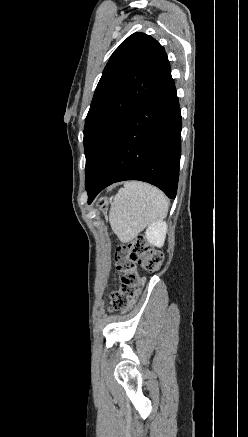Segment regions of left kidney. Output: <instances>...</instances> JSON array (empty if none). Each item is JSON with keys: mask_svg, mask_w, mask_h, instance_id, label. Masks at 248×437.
I'll list each match as a JSON object with an SVG mask.
<instances>
[{"mask_svg": "<svg viewBox=\"0 0 248 437\" xmlns=\"http://www.w3.org/2000/svg\"><path fill=\"white\" fill-rule=\"evenodd\" d=\"M167 224L159 220L152 223L145 232L146 240L154 246L162 247L166 238Z\"/></svg>", "mask_w": 248, "mask_h": 437, "instance_id": "obj_1", "label": "left kidney"}]
</instances>
